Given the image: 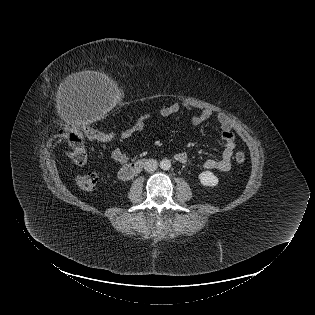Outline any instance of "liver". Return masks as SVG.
I'll return each mask as SVG.
<instances>
[{
  "instance_id": "liver-1",
  "label": "liver",
  "mask_w": 315,
  "mask_h": 315,
  "mask_svg": "<svg viewBox=\"0 0 315 315\" xmlns=\"http://www.w3.org/2000/svg\"><path fill=\"white\" fill-rule=\"evenodd\" d=\"M109 77L96 71H82L76 74L69 75L62 83L61 89H67V87H76V85L84 83H106L111 84Z\"/></svg>"
}]
</instances>
